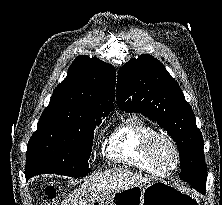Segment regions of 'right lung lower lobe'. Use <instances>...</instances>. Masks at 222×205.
Instances as JSON below:
<instances>
[{
  "mask_svg": "<svg viewBox=\"0 0 222 205\" xmlns=\"http://www.w3.org/2000/svg\"><path fill=\"white\" fill-rule=\"evenodd\" d=\"M25 176H26V178H28V177H29V176H28V175H26V174H25Z\"/></svg>",
  "mask_w": 222,
  "mask_h": 205,
  "instance_id": "98d812e1",
  "label": "right lung lower lobe"
}]
</instances>
